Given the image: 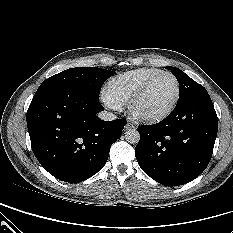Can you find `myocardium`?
Instances as JSON below:
<instances>
[{
  "label": "myocardium",
  "mask_w": 233,
  "mask_h": 233,
  "mask_svg": "<svg viewBox=\"0 0 233 233\" xmlns=\"http://www.w3.org/2000/svg\"><path fill=\"white\" fill-rule=\"evenodd\" d=\"M162 75H169L173 78L176 84V94L171 102V104L162 112L155 113V114H144L140 113L136 110V104L140 101V99L144 96L150 85L160 76ZM181 96V84L177 76L172 73L171 71H164L161 70L158 73L151 76L149 79H147L140 87L139 89L131 96V98L128 101L127 107L130 115L139 121L147 122V123H155L164 120L167 118L176 108L179 99Z\"/></svg>",
  "instance_id": "myocardium-1"
}]
</instances>
